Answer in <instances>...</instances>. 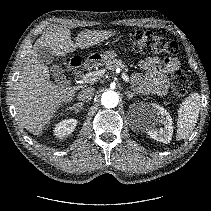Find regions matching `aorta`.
Here are the masks:
<instances>
[{
  "instance_id": "1",
  "label": "aorta",
  "mask_w": 211,
  "mask_h": 211,
  "mask_svg": "<svg viewBox=\"0 0 211 211\" xmlns=\"http://www.w3.org/2000/svg\"><path fill=\"white\" fill-rule=\"evenodd\" d=\"M119 103V96L115 91H106L102 94L101 104L105 108H114Z\"/></svg>"
}]
</instances>
